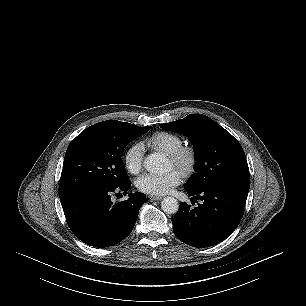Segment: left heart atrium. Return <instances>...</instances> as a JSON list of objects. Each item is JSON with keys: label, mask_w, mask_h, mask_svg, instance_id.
<instances>
[{"label": "left heart atrium", "mask_w": 306, "mask_h": 306, "mask_svg": "<svg viewBox=\"0 0 306 306\" xmlns=\"http://www.w3.org/2000/svg\"><path fill=\"white\" fill-rule=\"evenodd\" d=\"M183 176L178 169H172L165 174L147 173L137 180V188L151 195H163L172 191L182 182Z\"/></svg>", "instance_id": "left-heart-atrium-1"}]
</instances>
